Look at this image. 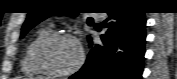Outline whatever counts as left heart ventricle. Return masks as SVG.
<instances>
[{"instance_id": "1", "label": "left heart ventricle", "mask_w": 177, "mask_h": 79, "mask_svg": "<svg viewBox=\"0 0 177 79\" xmlns=\"http://www.w3.org/2000/svg\"><path fill=\"white\" fill-rule=\"evenodd\" d=\"M79 59L77 45L69 40L49 44L43 51L44 62L56 71H66L76 65Z\"/></svg>"}]
</instances>
